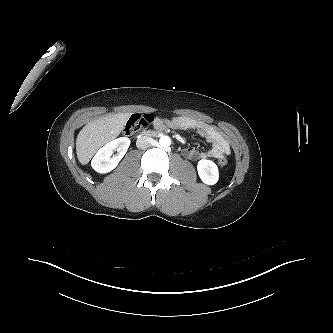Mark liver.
<instances>
[{
  "label": "liver",
  "mask_w": 333,
  "mask_h": 333,
  "mask_svg": "<svg viewBox=\"0 0 333 333\" xmlns=\"http://www.w3.org/2000/svg\"><path fill=\"white\" fill-rule=\"evenodd\" d=\"M129 118L127 113L109 114L89 122L78 134L77 157L81 164H87L96 151L116 138Z\"/></svg>",
  "instance_id": "6515ba94"
}]
</instances>
